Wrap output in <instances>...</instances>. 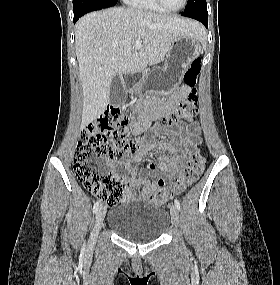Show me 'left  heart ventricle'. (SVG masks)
I'll use <instances>...</instances> for the list:
<instances>
[{"instance_id": "obj_1", "label": "left heart ventricle", "mask_w": 280, "mask_h": 285, "mask_svg": "<svg viewBox=\"0 0 280 285\" xmlns=\"http://www.w3.org/2000/svg\"><path fill=\"white\" fill-rule=\"evenodd\" d=\"M165 5L170 9H176L181 6L183 0H163Z\"/></svg>"}]
</instances>
